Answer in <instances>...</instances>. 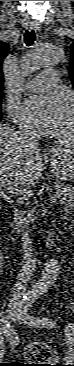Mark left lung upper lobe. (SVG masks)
Instances as JSON below:
<instances>
[{"instance_id": "left-lung-upper-lobe-1", "label": "left lung upper lobe", "mask_w": 74, "mask_h": 366, "mask_svg": "<svg viewBox=\"0 0 74 366\" xmlns=\"http://www.w3.org/2000/svg\"><path fill=\"white\" fill-rule=\"evenodd\" d=\"M70 78L74 88V42L71 44V60H70Z\"/></svg>"}]
</instances>
